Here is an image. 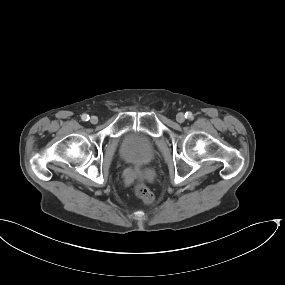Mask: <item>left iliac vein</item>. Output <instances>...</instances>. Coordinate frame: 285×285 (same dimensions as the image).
<instances>
[{
    "label": "left iliac vein",
    "mask_w": 285,
    "mask_h": 285,
    "mask_svg": "<svg viewBox=\"0 0 285 285\" xmlns=\"http://www.w3.org/2000/svg\"><path fill=\"white\" fill-rule=\"evenodd\" d=\"M176 120H177V122H179V123H183V122L185 121V116H184V114H183V113H178V114L176 115Z\"/></svg>",
    "instance_id": "4c4485c4"
}]
</instances>
